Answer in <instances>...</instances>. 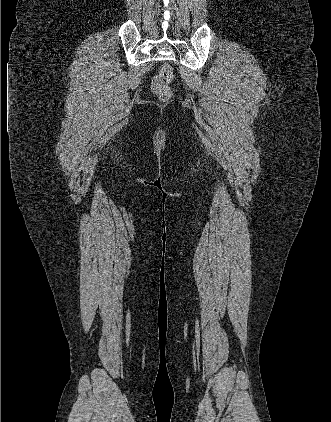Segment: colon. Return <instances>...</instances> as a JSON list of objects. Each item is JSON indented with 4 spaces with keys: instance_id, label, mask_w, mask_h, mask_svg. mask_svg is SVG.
<instances>
[{
    "instance_id": "obj_1",
    "label": "colon",
    "mask_w": 331,
    "mask_h": 422,
    "mask_svg": "<svg viewBox=\"0 0 331 422\" xmlns=\"http://www.w3.org/2000/svg\"><path fill=\"white\" fill-rule=\"evenodd\" d=\"M173 76V69L169 64H163L154 77L152 91L163 101L171 99L173 93L169 86Z\"/></svg>"
}]
</instances>
